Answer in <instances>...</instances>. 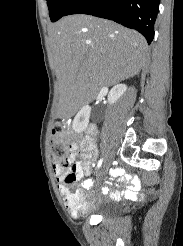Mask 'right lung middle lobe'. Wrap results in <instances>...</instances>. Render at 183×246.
I'll return each instance as SVG.
<instances>
[{"label": "right lung middle lobe", "mask_w": 183, "mask_h": 246, "mask_svg": "<svg viewBox=\"0 0 183 246\" xmlns=\"http://www.w3.org/2000/svg\"><path fill=\"white\" fill-rule=\"evenodd\" d=\"M75 1L76 0H47L51 21L55 22L65 16L66 12Z\"/></svg>", "instance_id": "1"}]
</instances>
